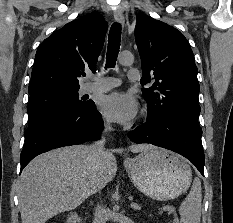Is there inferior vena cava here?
I'll return each mask as SVG.
<instances>
[{
  "mask_svg": "<svg viewBox=\"0 0 233 223\" xmlns=\"http://www.w3.org/2000/svg\"><path fill=\"white\" fill-rule=\"evenodd\" d=\"M111 129L112 127L110 125V121H107L105 131H111ZM104 145L105 137H102V139H99V141H94V143L90 145V153L92 159H95L94 169H96V171H99V167H103L104 165V159L107 155ZM103 187L104 185L101 183L99 175H96L92 181L91 189H93V193H98V195H101ZM92 223H106L101 199H99V201L96 203Z\"/></svg>",
  "mask_w": 233,
  "mask_h": 223,
  "instance_id": "inferior-vena-cava-1",
  "label": "inferior vena cava"
}]
</instances>
